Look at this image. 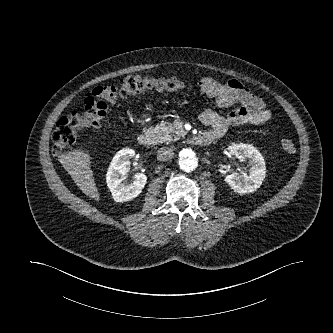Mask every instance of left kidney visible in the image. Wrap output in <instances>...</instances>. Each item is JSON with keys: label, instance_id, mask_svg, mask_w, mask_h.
Masks as SVG:
<instances>
[{"label": "left kidney", "instance_id": "left-kidney-1", "mask_svg": "<svg viewBox=\"0 0 333 333\" xmlns=\"http://www.w3.org/2000/svg\"><path fill=\"white\" fill-rule=\"evenodd\" d=\"M228 150L239 159H249L252 166L248 172H242L241 175L236 172L228 174L225 177L228 185L239 194L250 193L258 189L266 173V166L261 153L254 146L244 143H233Z\"/></svg>", "mask_w": 333, "mask_h": 333}]
</instances>
